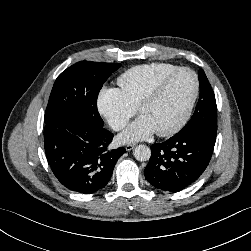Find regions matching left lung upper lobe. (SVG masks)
Segmentation results:
<instances>
[{
	"instance_id": "1",
	"label": "left lung upper lobe",
	"mask_w": 251,
	"mask_h": 251,
	"mask_svg": "<svg viewBox=\"0 0 251 251\" xmlns=\"http://www.w3.org/2000/svg\"><path fill=\"white\" fill-rule=\"evenodd\" d=\"M200 95L195 112L186 126L178 133H184L197 127H206L217 131V106L212 87L202 69L199 70Z\"/></svg>"
}]
</instances>
